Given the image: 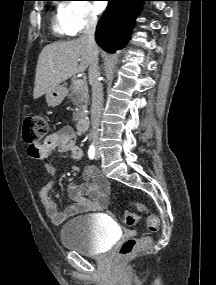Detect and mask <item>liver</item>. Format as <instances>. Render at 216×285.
Masks as SVG:
<instances>
[{
    "label": "liver",
    "mask_w": 216,
    "mask_h": 285,
    "mask_svg": "<svg viewBox=\"0 0 216 285\" xmlns=\"http://www.w3.org/2000/svg\"><path fill=\"white\" fill-rule=\"evenodd\" d=\"M89 65L90 50L81 39L45 46L37 62L33 98L47 94L73 75L84 72Z\"/></svg>",
    "instance_id": "1"
}]
</instances>
